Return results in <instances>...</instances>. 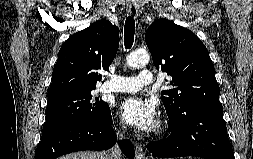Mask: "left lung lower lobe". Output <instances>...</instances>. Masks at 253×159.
<instances>
[{"label": "left lung lower lobe", "mask_w": 253, "mask_h": 159, "mask_svg": "<svg viewBox=\"0 0 253 159\" xmlns=\"http://www.w3.org/2000/svg\"><path fill=\"white\" fill-rule=\"evenodd\" d=\"M168 125L171 134L166 139L147 145L153 157L235 159L221 106H189Z\"/></svg>", "instance_id": "0a47b994"}]
</instances>
